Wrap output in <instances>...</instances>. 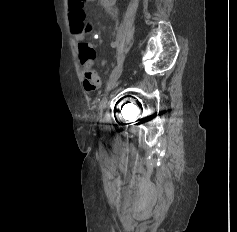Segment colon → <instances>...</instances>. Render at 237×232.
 <instances>
[{
    "mask_svg": "<svg viewBox=\"0 0 237 232\" xmlns=\"http://www.w3.org/2000/svg\"><path fill=\"white\" fill-rule=\"evenodd\" d=\"M86 0H69V18L71 29L75 34H86L91 31V25L85 19L84 2Z\"/></svg>",
    "mask_w": 237,
    "mask_h": 232,
    "instance_id": "1",
    "label": "colon"
}]
</instances>
